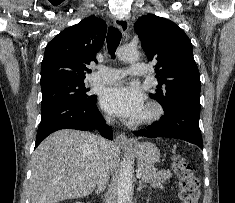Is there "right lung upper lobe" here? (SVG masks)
<instances>
[{
  "instance_id": "obj_1",
  "label": "right lung upper lobe",
  "mask_w": 235,
  "mask_h": 203,
  "mask_svg": "<svg viewBox=\"0 0 235 203\" xmlns=\"http://www.w3.org/2000/svg\"><path fill=\"white\" fill-rule=\"evenodd\" d=\"M104 20L90 16L59 33L45 49L41 64V85L58 81L84 80L91 72L86 66L96 62L95 54L106 36Z\"/></svg>"
}]
</instances>
